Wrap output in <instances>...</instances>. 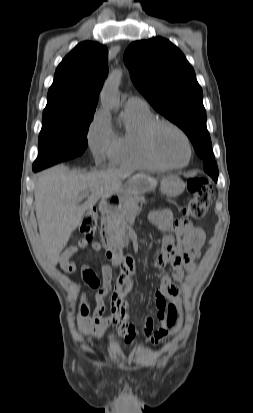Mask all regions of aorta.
Segmentation results:
<instances>
[{"mask_svg":"<svg viewBox=\"0 0 253 413\" xmlns=\"http://www.w3.org/2000/svg\"><path fill=\"white\" fill-rule=\"evenodd\" d=\"M122 73L113 72L105 82L101 93L102 106L108 109L115 108L119 104L118 86L120 84Z\"/></svg>","mask_w":253,"mask_h":413,"instance_id":"aorta-1","label":"aorta"}]
</instances>
